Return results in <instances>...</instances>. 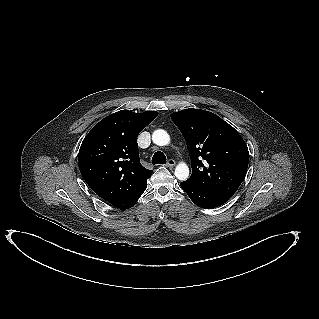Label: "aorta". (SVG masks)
<instances>
[{
	"label": "aorta",
	"mask_w": 319,
	"mask_h": 319,
	"mask_svg": "<svg viewBox=\"0 0 319 319\" xmlns=\"http://www.w3.org/2000/svg\"><path fill=\"white\" fill-rule=\"evenodd\" d=\"M152 141L156 145L166 146L170 142V136L165 130L157 129L152 133ZM174 174L178 180L185 181L189 178V168L185 163H179Z\"/></svg>",
	"instance_id": "aorta-1"
}]
</instances>
